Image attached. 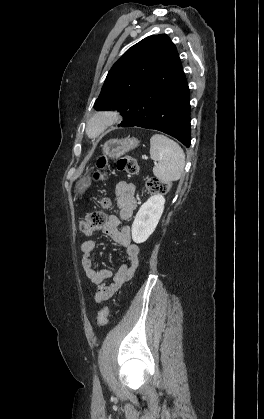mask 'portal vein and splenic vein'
I'll return each mask as SVG.
<instances>
[{"instance_id": "obj_1", "label": "portal vein and splenic vein", "mask_w": 264, "mask_h": 419, "mask_svg": "<svg viewBox=\"0 0 264 419\" xmlns=\"http://www.w3.org/2000/svg\"><path fill=\"white\" fill-rule=\"evenodd\" d=\"M145 160L147 159V157L145 156V157H143Z\"/></svg>"}]
</instances>
